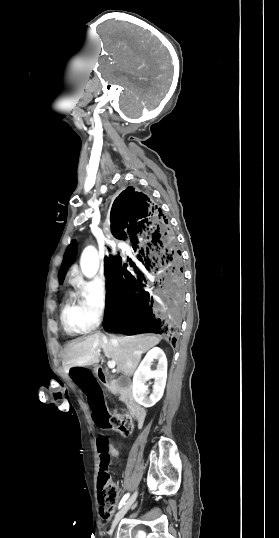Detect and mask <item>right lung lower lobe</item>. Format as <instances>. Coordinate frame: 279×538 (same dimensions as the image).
<instances>
[{"label":"right lung lower lobe","mask_w":279,"mask_h":538,"mask_svg":"<svg viewBox=\"0 0 279 538\" xmlns=\"http://www.w3.org/2000/svg\"><path fill=\"white\" fill-rule=\"evenodd\" d=\"M111 231L129 241L139 262L126 269L117 257L105 259V329L176 333L185 310L181 252L161 208L146 194L127 187L111 209Z\"/></svg>","instance_id":"98d812e1"}]
</instances>
